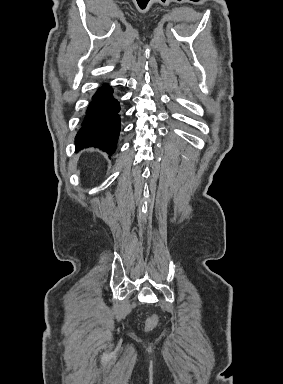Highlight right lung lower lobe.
Listing matches in <instances>:
<instances>
[{"mask_svg": "<svg viewBox=\"0 0 283 384\" xmlns=\"http://www.w3.org/2000/svg\"><path fill=\"white\" fill-rule=\"evenodd\" d=\"M119 111L120 105L113 97V89L103 85L88 106L82 127L75 138L76 150L97 147L112 154L120 131Z\"/></svg>", "mask_w": 283, "mask_h": 384, "instance_id": "1", "label": "right lung lower lobe"}]
</instances>
